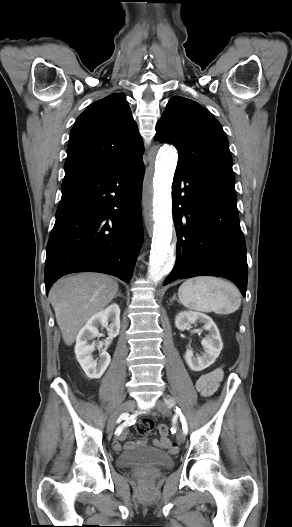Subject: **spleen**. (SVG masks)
<instances>
[{
  "instance_id": "obj_1",
  "label": "spleen",
  "mask_w": 292,
  "mask_h": 527,
  "mask_svg": "<svg viewBox=\"0 0 292 527\" xmlns=\"http://www.w3.org/2000/svg\"><path fill=\"white\" fill-rule=\"evenodd\" d=\"M179 301L188 309L230 314L239 309V290L222 279L200 276L187 279L178 289Z\"/></svg>"
}]
</instances>
